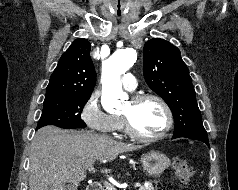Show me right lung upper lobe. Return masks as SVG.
I'll list each match as a JSON object with an SVG mask.
<instances>
[{"label":"right lung upper lobe","mask_w":238,"mask_h":190,"mask_svg":"<svg viewBox=\"0 0 238 190\" xmlns=\"http://www.w3.org/2000/svg\"><path fill=\"white\" fill-rule=\"evenodd\" d=\"M90 43L76 39L61 56L50 77L45 98L67 95H91L96 75L90 57Z\"/></svg>","instance_id":"1"}]
</instances>
